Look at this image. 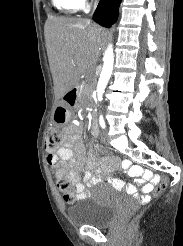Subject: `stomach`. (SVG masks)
<instances>
[{
  "mask_svg": "<svg viewBox=\"0 0 183 246\" xmlns=\"http://www.w3.org/2000/svg\"><path fill=\"white\" fill-rule=\"evenodd\" d=\"M62 111L64 112V114H66V121H67L69 118V112L68 111L65 112V110H62Z\"/></svg>",
  "mask_w": 183,
  "mask_h": 246,
  "instance_id": "obj_1",
  "label": "stomach"
}]
</instances>
